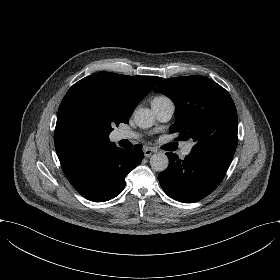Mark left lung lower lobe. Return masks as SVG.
Returning <instances> with one entry per match:
<instances>
[{"mask_svg": "<svg viewBox=\"0 0 280 280\" xmlns=\"http://www.w3.org/2000/svg\"><path fill=\"white\" fill-rule=\"evenodd\" d=\"M168 168L159 174L164 192L176 201L197 202L213 192L224 178L233 156L213 151L191 150L183 160L167 153Z\"/></svg>", "mask_w": 280, "mask_h": 280, "instance_id": "1", "label": "left lung lower lobe"}]
</instances>
